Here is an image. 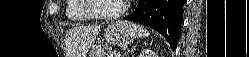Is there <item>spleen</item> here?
Wrapping results in <instances>:
<instances>
[{
  "mask_svg": "<svg viewBox=\"0 0 249 57\" xmlns=\"http://www.w3.org/2000/svg\"><path fill=\"white\" fill-rule=\"evenodd\" d=\"M137 30H138V37L139 38H145L149 36L148 31L142 26V25H137Z\"/></svg>",
  "mask_w": 249,
  "mask_h": 57,
  "instance_id": "3e777b00",
  "label": "spleen"
}]
</instances>
